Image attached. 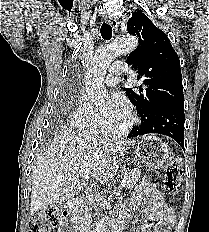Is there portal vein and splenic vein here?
Wrapping results in <instances>:
<instances>
[{"mask_svg": "<svg viewBox=\"0 0 209 232\" xmlns=\"http://www.w3.org/2000/svg\"><path fill=\"white\" fill-rule=\"evenodd\" d=\"M82 177L84 178V179H86L87 181H89L90 180V175H89V173H83L82 174ZM127 180L126 179H124L123 181H122V183H121V186L123 187V188H125L126 186H127Z\"/></svg>", "mask_w": 209, "mask_h": 232, "instance_id": "obj_1", "label": "portal vein and splenic vein"}]
</instances>
